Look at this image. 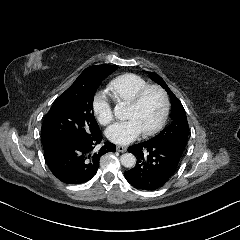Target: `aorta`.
Masks as SVG:
<instances>
[{
  "label": "aorta",
  "mask_w": 240,
  "mask_h": 240,
  "mask_svg": "<svg viewBox=\"0 0 240 240\" xmlns=\"http://www.w3.org/2000/svg\"><path fill=\"white\" fill-rule=\"evenodd\" d=\"M116 115H119V109L116 110ZM121 163L126 168H132L136 165V157L132 153H125L121 156Z\"/></svg>",
  "instance_id": "aorta-1"
}]
</instances>
